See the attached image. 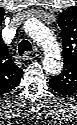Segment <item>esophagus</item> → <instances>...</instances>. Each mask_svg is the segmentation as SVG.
Here are the masks:
<instances>
[{"label":"esophagus","mask_w":77,"mask_h":125,"mask_svg":"<svg viewBox=\"0 0 77 125\" xmlns=\"http://www.w3.org/2000/svg\"><path fill=\"white\" fill-rule=\"evenodd\" d=\"M33 52H31V51H26L25 53H24V56H26V57H28V58H31V57H33Z\"/></svg>","instance_id":"34e87169"}]
</instances>
